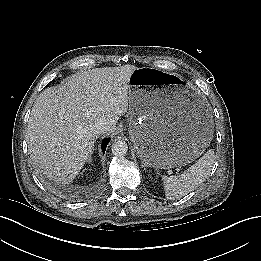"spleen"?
<instances>
[{
    "instance_id": "3e777b00",
    "label": "spleen",
    "mask_w": 261,
    "mask_h": 261,
    "mask_svg": "<svg viewBox=\"0 0 261 261\" xmlns=\"http://www.w3.org/2000/svg\"><path fill=\"white\" fill-rule=\"evenodd\" d=\"M214 151H207L195 164L179 176L163 178L167 199H178L194 191L209 175L214 165Z\"/></svg>"
}]
</instances>
